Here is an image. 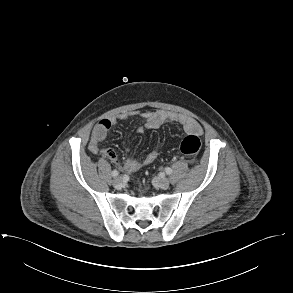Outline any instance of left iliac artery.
Returning <instances> with one entry per match:
<instances>
[{"label":"left iliac artery","instance_id":"44dca946","mask_svg":"<svg viewBox=\"0 0 293 293\" xmlns=\"http://www.w3.org/2000/svg\"><path fill=\"white\" fill-rule=\"evenodd\" d=\"M165 172H166V174L170 175V174L172 173V169L169 168V167H167V168L165 169Z\"/></svg>","mask_w":293,"mask_h":293}]
</instances>
